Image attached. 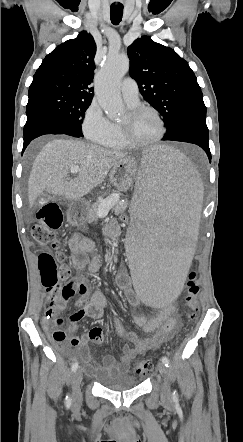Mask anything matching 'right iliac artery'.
<instances>
[{
  "instance_id": "right-iliac-artery-1",
  "label": "right iliac artery",
  "mask_w": 243,
  "mask_h": 442,
  "mask_svg": "<svg viewBox=\"0 0 243 442\" xmlns=\"http://www.w3.org/2000/svg\"><path fill=\"white\" fill-rule=\"evenodd\" d=\"M77 368H78V362H75L72 365V371L75 372L77 370ZM71 403H72V399H71V397L69 395H67L66 398H65V405H66V407L70 408Z\"/></svg>"
}]
</instances>
